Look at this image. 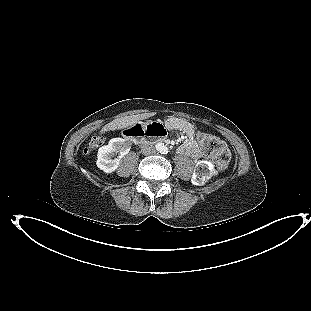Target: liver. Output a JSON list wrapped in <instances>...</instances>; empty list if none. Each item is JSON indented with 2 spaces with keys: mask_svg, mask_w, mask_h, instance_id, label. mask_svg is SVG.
Instances as JSON below:
<instances>
[{
  "mask_svg": "<svg viewBox=\"0 0 311 311\" xmlns=\"http://www.w3.org/2000/svg\"><path fill=\"white\" fill-rule=\"evenodd\" d=\"M153 115H154L153 113H144V114H137V115L117 118L113 120L112 122L106 124L102 128L101 133H105L110 130L114 131L116 129L119 130V129H123L126 127H130L136 124L137 122H139L140 120L147 119Z\"/></svg>",
  "mask_w": 311,
  "mask_h": 311,
  "instance_id": "6515ba94",
  "label": "liver"
}]
</instances>
